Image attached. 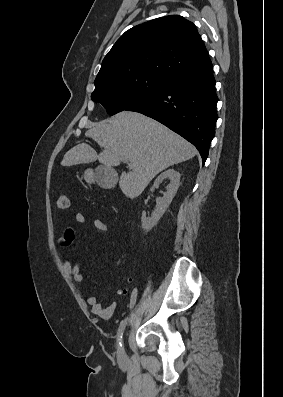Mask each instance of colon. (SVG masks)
<instances>
[{"label":"colon","mask_w":283,"mask_h":397,"mask_svg":"<svg viewBox=\"0 0 283 397\" xmlns=\"http://www.w3.org/2000/svg\"><path fill=\"white\" fill-rule=\"evenodd\" d=\"M55 207L59 210L67 209L69 206L68 197L65 194H57L54 199Z\"/></svg>","instance_id":"colon-1"}]
</instances>
